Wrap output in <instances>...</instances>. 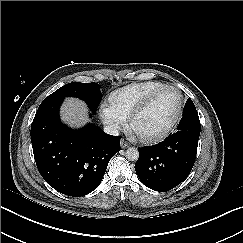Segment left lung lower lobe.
Masks as SVG:
<instances>
[{
	"mask_svg": "<svg viewBox=\"0 0 243 243\" xmlns=\"http://www.w3.org/2000/svg\"><path fill=\"white\" fill-rule=\"evenodd\" d=\"M199 135L198 114L184 116L177 131L165 141L138 148L135 170L141 182L155 191L167 192L184 181L195 162Z\"/></svg>",
	"mask_w": 243,
	"mask_h": 243,
	"instance_id": "obj_1",
	"label": "left lung lower lobe"
}]
</instances>
